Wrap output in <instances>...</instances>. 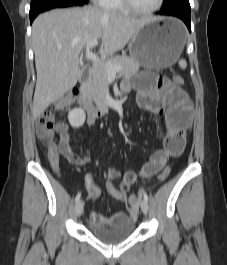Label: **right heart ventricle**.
Returning a JSON list of instances; mask_svg holds the SVG:
<instances>
[{
	"label": "right heart ventricle",
	"mask_w": 227,
	"mask_h": 265,
	"mask_svg": "<svg viewBox=\"0 0 227 265\" xmlns=\"http://www.w3.org/2000/svg\"><path fill=\"white\" fill-rule=\"evenodd\" d=\"M104 8L110 11H115V12H125L127 11L121 0H107L106 4L104 5Z\"/></svg>",
	"instance_id": "right-heart-ventricle-1"
}]
</instances>
